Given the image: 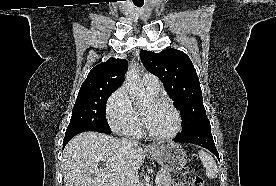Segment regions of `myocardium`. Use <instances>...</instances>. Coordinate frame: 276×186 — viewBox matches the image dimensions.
I'll return each mask as SVG.
<instances>
[{
	"mask_svg": "<svg viewBox=\"0 0 276 186\" xmlns=\"http://www.w3.org/2000/svg\"><path fill=\"white\" fill-rule=\"evenodd\" d=\"M152 101L155 104H162V105L169 106L174 111V113L176 114L177 126H176L175 130L170 134H165V135L156 134V133H154L150 130V128L147 125L146 119H145L144 115L141 112V125H142L143 132L147 136H149L153 139H156V140H170V139L175 138L180 133V131L182 129V126H183V119H182V115H181L180 111L170 100H168L166 98L155 97V98L152 99Z\"/></svg>",
	"mask_w": 276,
	"mask_h": 186,
	"instance_id": "f54148a6",
	"label": "myocardium"
}]
</instances>
